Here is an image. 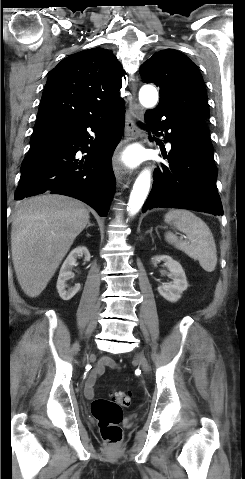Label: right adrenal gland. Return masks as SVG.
Here are the masks:
<instances>
[{
  "label": "right adrenal gland",
  "instance_id": "1",
  "mask_svg": "<svg viewBox=\"0 0 245 479\" xmlns=\"http://www.w3.org/2000/svg\"><path fill=\"white\" fill-rule=\"evenodd\" d=\"M93 225H94V224H91V223L89 222L86 228H88V227H90V226H93Z\"/></svg>",
  "mask_w": 245,
  "mask_h": 479
}]
</instances>
